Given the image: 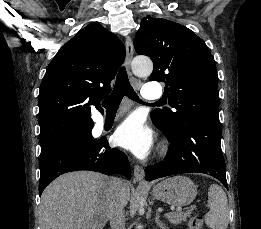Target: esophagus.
I'll return each instance as SVG.
<instances>
[{
    "label": "esophagus",
    "instance_id": "esophagus-1",
    "mask_svg": "<svg viewBox=\"0 0 261 229\" xmlns=\"http://www.w3.org/2000/svg\"><path fill=\"white\" fill-rule=\"evenodd\" d=\"M125 46H126V59H125V66L130 74V67H131V62L133 59V42L130 38V36L126 37L125 40ZM134 177L138 181L140 186H148L149 183L144 180L145 172L143 167L140 165H134Z\"/></svg>",
    "mask_w": 261,
    "mask_h": 229
}]
</instances>
